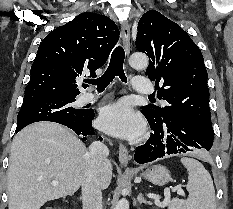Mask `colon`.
Masks as SVG:
<instances>
[{"mask_svg": "<svg viewBox=\"0 0 233 209\" xmlns=\"http://www.w3.org/2000/svg\"><path fill=\"white\" fill-rule=\"evenodd\" d=\"M44 209H54V208H52V207H46V208H44Z\"/></svg>", "mask_w": 233, "mask_h": 209, "instance_id": "obj_1", "label": "colon"}]
</instances>
